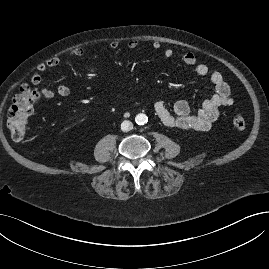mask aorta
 Returning <instances> with one entry per match:
<instances>
[{"label":"aorta","mask_w":269,"mask_h":269,"mask_svg":"<svg viewBox=\"0 0 269 269\" xmlns=\"http://www.w3.org/2000/svg\"><path fill=\"white\" fill-rule=\"evenodd\" d=\"M137 124L142 125L147 122V116L145 114H138L135 118Z\"/></svg>","instance_id":"1"}]
</instances>
